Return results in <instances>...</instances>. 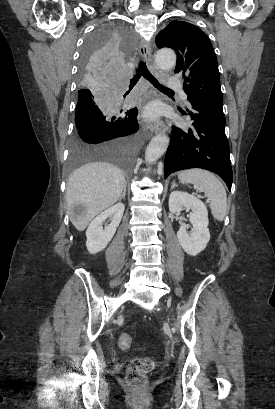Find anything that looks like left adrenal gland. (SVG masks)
Returning <instances> with one entry per match:
<instances>
[{"instance_id": "a2214340", "label": "left adrenal gland", "mask_w": 275, "mask_h": 409, "mask_svg": "<svg viewBox=\"0 0 275 409\" xmlns=\"http://www.w3.org/2000/svg\"><path fill=\"white\" fill-rule=\"evenodd\" d=\"M174 186H177V184H176L175 180H173V182H172V186H171L170 190H172V188H174Z\"/></svg>"}]
</instances>
